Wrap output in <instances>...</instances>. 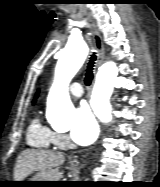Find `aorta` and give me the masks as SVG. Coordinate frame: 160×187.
I'll return each instance as SVG.
<instances>
[{
  "label": "aorta",
  "instance_id": "aorta-1",
  "mask_svg": "<svg viewBox=\"0 0 160 187\" xmlns=\"http://www.w3.org/2000/svg\"><path fill=\"white\" fill-rule=\"evenodd\" d=\"M88 55L84 41H70L57 61L54 83L47 99V117L50 122L61 119L73 110L69 84ZM118 68L112 61L103 64L97 73L90 104L96 116L104 123L112 120L109 99L112 95Z\"/></svg>",
  "mask_w": 160,
  "mask_h": 187
}]
</instances>
